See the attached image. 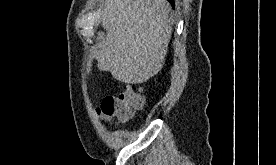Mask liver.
Here are the masks:
<instances>
[{
    "mask_svg": "<svg viewBox=\"0 0 276 165\" xmlns=\"http://www.w3.org/2000/svg\"><path fill=\"white\" fill-rule=\"evenodd\" d=\"M101 11L106 36L96 52L100 71L127 84H141L165 63L171 39L170 4L166 0H105Z\"/></svg>",
    "mask_w": 276,
    "mask_h": 165,
    "instance_id": "obj_1",
    "label": "liver"
}]
</instances>
